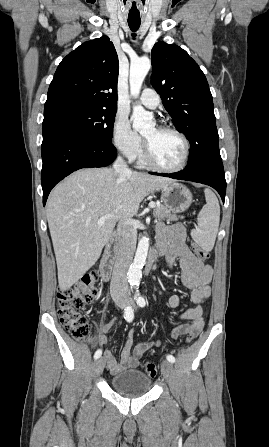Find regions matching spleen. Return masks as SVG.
Here are the masks:
<instances>
[{
    "instance_id": "spleen-1",
    "label": "spleen",
    "mask_w": 269,
    "mask_h": 447,
    "mask_svg": "<svg viewBox=\"0 0 269 447\" xmlns=\"http://www.w3.org/2000/svg\"><path fill=\"white\" fill-rule=\"evenodd\" d=\"M204 194L207 204L203 206L200 214H198V225L196 229H191V235L197 245H200L205 251H211L218 233L220 206L212 190L205 188Z\"/></svg>"
}]
</instances>
